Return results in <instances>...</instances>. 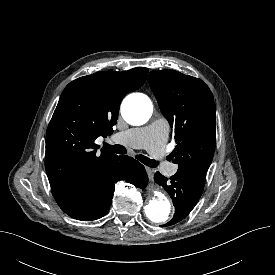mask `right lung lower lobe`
<instances>
[{"label":"right lung lower lobe","instance_id":"obj_1","mask_svg":"<svg viewBox=\"0 0 275 275\" xmlns=\"http://www.w3.org/2000/svg\"><path fill=\"white\" fill-rule=\"evenodd\" d=\"M125 180L136 187L144 188L148 182L145 168L135 159L118 156V159L108 166L104 174L91 180L80 192L73 206L63 211L77 220H96L109 211L115 183Z\"/></svg>","mask_w":275,"mask_h":275}]
</instances>
